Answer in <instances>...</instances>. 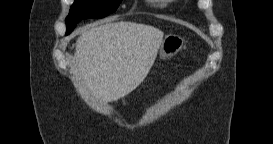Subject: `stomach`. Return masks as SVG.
I'll use <instances>...</instances> for the list:
<instances>
[{"label": "stomach", "instance_id": "obj_1", "mask_svg": "<svg viewBox=\"0 0 273 144\" xmlns=\"http://www.w3.org/2000/svg\"><path fill=\"white\" fill-rule=\"evenodd\" d=\"M183 46L184 40L179 35L170 34L166 36L160 47V59H167L175 56Z\"/></svg>", "mask_w": 273, "mask_h": 144}]
</instances>
